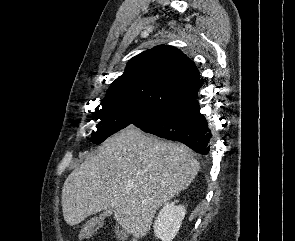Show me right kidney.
<instances>
[{
    "mask_svg": "<svg viewBox=\"0 0 295 241\" xmlns=\"http://www.w3.org/2000/svg\"><path fill=\"white\" fill-rule=\"evenodd\" d=\"M175 202L166 203L160 210L154 222V233L162 241H172L178 233L182 220L185 217L186 209L184 206L175 205Z\"/></svg>",
    "mask_w": 295,
    "mask_h": 241,
    "instance_id": "obj_1",
    "label": "right kidney"
}]
</instances>
